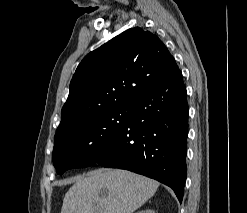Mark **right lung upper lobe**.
<instances>
[{
  "label": "right lung upper lobe",
  "mask_w": 247,
  "mask_h": 213,
  "mask_svg": "<svg viewBox=\"0 0 247 213\" xmlns=\"http://www.w3.org/2000/svg\"><path fill=\"white\" fill-rule=\"evenodd\" d=\"M178 69L156 35L139 27L124 31L90 52L77 67L55 137L129 101Z\"/></svg>",
  "instance_id": "right-lung-upper-lobe-1"
}]
</instances>
